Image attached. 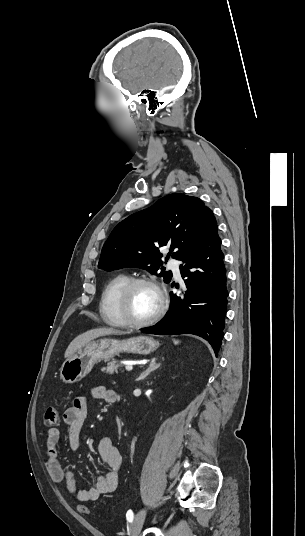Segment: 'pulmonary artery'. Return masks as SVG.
<instances>
[{
  "mask_svg": "<svg viewBox=\"0 0 305 536\" xmlns=\"http://www.w3.org/2000/svg\"><path fill=\"white\" fill-rule=\"evenodd\" d=\"M169 267L173 270V273L177 279L181 278L180 262L177 260H170L168 262Z\"/></svg>",
  "mask_w": 305,
  "mask_h": 536,
  "instance_id": "obj_1",
  "label": "pulmonary artery"
}]
</instances>
